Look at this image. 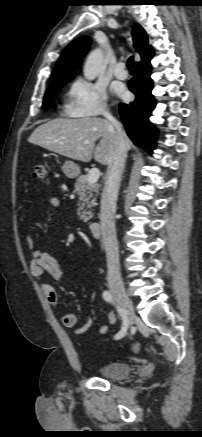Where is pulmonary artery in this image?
I'll return each mask as SVG.
<instances>
[{
    "label": "pulmonary artery",
    "instance_id": "obj_1",
    "mask_svg": "<svg viewBox=\"0 0 202 437\" xmlns=\"http://www.w3.org/2000/svg\"><path fill=\"white\" fill-rule=\"evenodd\" d=\"M114 75L116 78L120 80H124L127 78V71L125 70V65L123 62H119L114 70Z\"/></svg>",
    "mask_w": 202,
    "mask_h": 437
}]
</instances>
